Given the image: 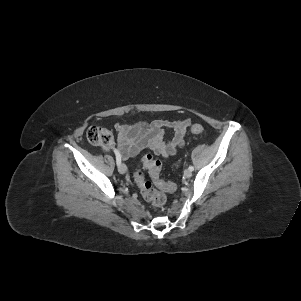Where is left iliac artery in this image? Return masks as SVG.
Instances as JSON below:
<instances>
[{
  "mask_svg": "<svg viewBox=\"0 0 301 301\" xmlns=\"http://www.w3.org/2000/svg\"><path fill=\"white\" fill-rule=\"evenodd\" d=\"M190 171H193L194 170V167L193 166H189L188 168Z\"/></svg>",
  "mask_w": 301,
  "mask_h": 301,
  "instance_id": "44dca946",
  "label": "left iliac artery"
}]
</instances>
